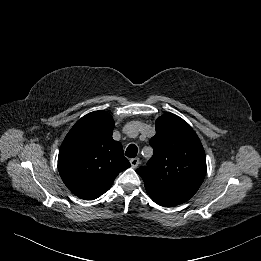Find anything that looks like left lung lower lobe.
I'll return each instance as SVG.
<instances>
[{"instance_id":"0a47b994","label":"left lung lower lobe","mask_w":261,"mask_h":261,"mask_svg":"<svg viewBox=\"0 0 261 261\" xmlns=\"http://www.w3.org/2000/svg\"><path fill=\"white\" fill-rule=\"evenodd\" d=\"M146 191L155 203L164 207L177 206L190 199L188 197L173 194V193H165V192H159V191L147 190V189Z\"/></svg>"}]
</instances>
